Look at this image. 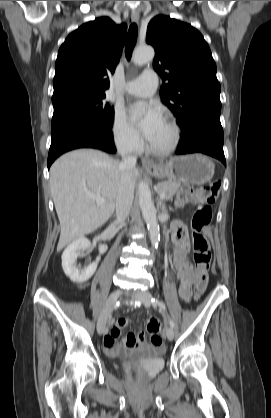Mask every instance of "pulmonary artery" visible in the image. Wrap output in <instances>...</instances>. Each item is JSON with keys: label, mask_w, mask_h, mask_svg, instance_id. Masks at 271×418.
Returning a JSON list of instances; mask_svg holds the SVG:
<instances>
[{"label": "pulmonary artery", "mask_w": 271, "mask_h": 418, "mask_svg": "<svg viewBox=\"0 0 271 418\" xmlns=\"http://www.w3.org/2000/svg\"><path fill=\"white\" fill-rule=\"evenodd\" d=\"M158 85V76L152 69H147L142 74L127 82L124 87L126 93L133 96L148 97L151 96Z\"/></svg>", "instance_id": "obj_1"}]
</instances>
